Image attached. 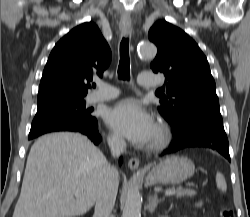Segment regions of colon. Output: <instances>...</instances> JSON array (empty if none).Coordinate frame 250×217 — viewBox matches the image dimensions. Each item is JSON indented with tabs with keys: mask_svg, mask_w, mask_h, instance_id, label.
<instances>
[{
	"mask_svg": "<svg viewBox=\"0 0 250 217\" xmlns=\"http://www.w3.org/2000/svg\"><path fill=\"white\" fill-rule=\"evenodd\" d=\"M219 215L220 217H234L232 208L225 203L220 205Z\"/></svg>",
	"mask_w": 250,
	"mask_h": 217,
	"instance_id": "1",
	"label": "colon"
}]
</instances>
